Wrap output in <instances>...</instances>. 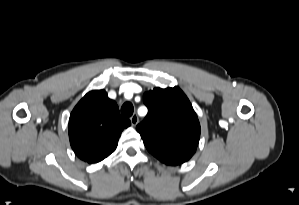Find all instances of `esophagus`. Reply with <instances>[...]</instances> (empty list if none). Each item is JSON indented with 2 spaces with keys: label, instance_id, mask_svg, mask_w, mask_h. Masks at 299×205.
<instances>
[{
  "label": "esophagus",
  "instance_id": "obj_1",
  "mask_svg": "<svg viewBox=\"0 0 299 205\" xmlns=\"http://www.w3.org/2000/svg\"><path fill=\"white\" fill-rule=\"evenodd\" d=\"M131 124L132 126H136L139 122V118L137 116V114H133L130 118Z\"/></svg>",
  "mask_w": 299,
  "mask_h": 205
}]
</instances>
